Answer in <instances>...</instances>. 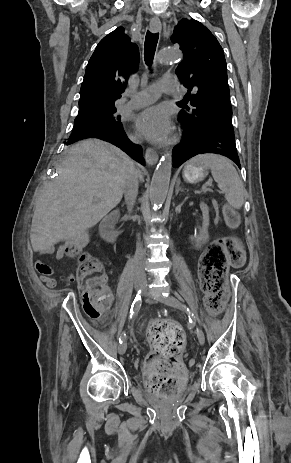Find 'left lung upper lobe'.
<instances>
[{"mask_svg":"<svg viewBox=\"0 0 291 463\" xmlns=\"http://www.w3.org/2000/svg\"><path fill=\"white\" fill-rule=\"evenodd\" d=\"M184 53L176 74L188 88L186 99L195 107L179 117L193 124L234 132L227 80V66L222 47L200 22L182 19L171 37Z\"/></svg>","mask_w":291,"mask_h":463,"instance_id":"5c2ea615","label":"left lung upper lobe"}]
</instances>
